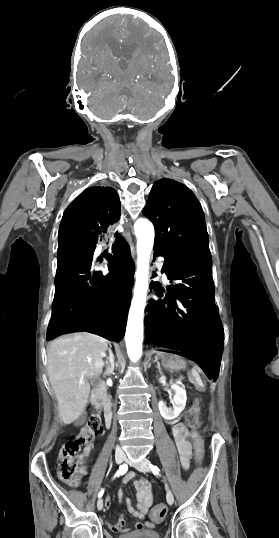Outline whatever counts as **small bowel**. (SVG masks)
<instances>
[{
  "instance_id": "1",
  "label": "small bowel",
  "mask_w": 279,
  "mask_h": 538,
  "mask_svg": "<svg viewBox=\"0 0 279 538\" xmlns=\"http://www.w3.org/2000/svg\"><path fill=\"white\" fill-rule=\"evenodd\" d=\"M173 438L179 453L180 462L184 469L189 468L190 458H191V443L189 441V432L185 425L182 423H177L173 426L172 429ZM93 449L92 444H87L79 457V466L83 474L86 473L87 461L89 459L90 453ZM135 477L134 471H129L124 479V483L130 482ZM136 488V498L138 501V509L135 510L132 506V502L129 498L125 499V506L127 511L135 518L139 519L132 528H125V518L123 515L119 516L114 523H109V528L114 532H126V531H140L144 529H150L153 527V523L150 521H142L146 518L149 508L153 502V488L152 486L144 479H139L134 482ZM123 498V492L120 489L118 491V499L121 502ZM111 506V498L109 496L105 499V507L108 509Z\"/></svg>"
}]
</instances>
